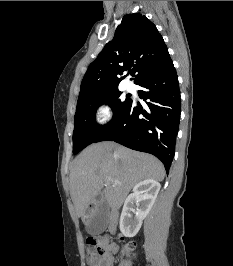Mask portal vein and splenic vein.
<instances>
[{
  "mask_svg": "<svg viewBox=\"0 0 233 266\" xmlns=\"http://www.w3.org/2000/svg\"><path fill=\"white\" fill-rule=\"evenodd\" d=\"M106 182H107V183H110V182H112V183H113V185H115V186L120 184V182H119V181L112 180V179H110V178H106Z\"/></svg>",
  "mask_w": 233,
  "mask_h": 266,
  "instance_id": "obj_1",
  "label": "portal vein and splenic vein"
}]
</instances>
